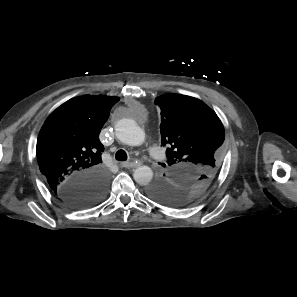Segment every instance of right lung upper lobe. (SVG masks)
I'll return each mask as SVG.
<instances>
[{"label": "right lung upper lobe", "mask_w": 297, "mask_h": 297, "mask_svg": "<svg viewBox=\"0 0 297 297\" xmlns=\"http://www.w3.org/2000/svg\"><path fill=\"white\" fill-rule=\"evenodd\" d=\"M118 97L105 95L72 98L46 119L37 140L40 171L57 194L74 177L106 170L98 135Z\"/></svg>", "instance_id": "right-lung-upper-lobe-1"}]
</instances>
